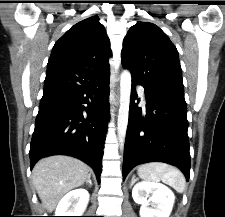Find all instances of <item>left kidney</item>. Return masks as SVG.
<instances>
[{"label":"left kidney","mask_w":225,"mask_h":217,"mask_svg":"<svg viewBox=\"0 0 225 217\" xmlns=\"http://www.w3.org/2000/svg\"><path fill=\"white\" fill-rule=\"evenodd\" d=\"M134 201L141 204V217H169L175 196L165 185L155 182H139L132 189Z\"/></svg>","instance_id":"left-kidney-1"}]
</instances>
